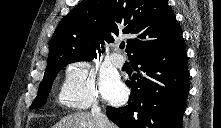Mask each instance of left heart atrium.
Segmentation results:
<instances>
[{"label":"left heart atrium","instance_id":"39dd6f15","mask_svg":"<svg viewBox=\"0 0 221 128\" xmlns=\"http://www.w3.org/2000/svg\"><path fill=\"white\" fill-rule=\"evenodd\" d=\"M101 87L105 97L111 101H119L125 95L124 88L113 75L104 76L101 80Z\"/></svg>","mask_w":221,"mask_h":128}]
</instances>
